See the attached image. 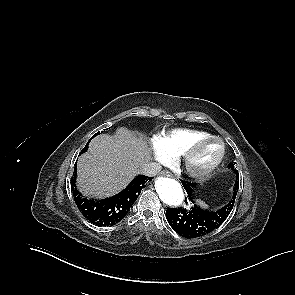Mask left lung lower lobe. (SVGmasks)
I'll use <instances>...</instances> for the list:
<instances>
[{"label": "left lung lower lobe", "instance_id": "0a47b994", "mask_svg": "<svg viewBox=\"0 0 295 295\" xmlns=\"http://www.w3.org/2000/svg\"><path fill=\"white\" fill-rule=\"evenodd\" d=\"M236 181L233 188V196L230 202L217 211L202 209L196 204V184L182 181L183 187L188 193L189 200L194 204L189 210L183 207L169 208L166 218L169 225L185 238H196L209 234L218 228L230 214L239 188V175L237 170Z\"/></svg>", "mask_w": 295, "mask_h": 295}]
</instances>
